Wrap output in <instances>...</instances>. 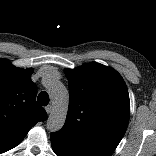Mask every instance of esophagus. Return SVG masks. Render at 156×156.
<instances>
[{
	"mask_svg": "<svg viewBox=\"0 0 156 156\" xmlns=\"http://www.w3.org/2000/svg\"><path fill=\"white\" fill-rule=\"evenodd\" d=\"M45 110H46L47 114H50L51 111H52V106H51V105H47V106L45 107Z\"/></svg>",
	"mask_w": 156,
	"mask_h": 156,
	"instance_id": "esophagus-1",
	"label": "esophagus"
}]
</instances>
